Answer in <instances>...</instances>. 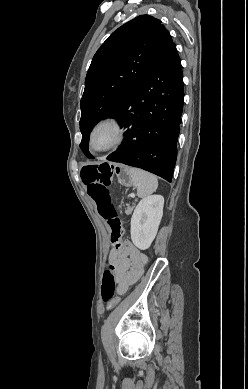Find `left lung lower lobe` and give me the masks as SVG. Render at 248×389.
<instances>
[{
  "label": "left lung lower lobe",
  "mask_w": 248,
  "mask_h": 389,
  "mask_svg": "<svg viewBox=\"0 0 248 389\" xmlns=\"http://www.w3.org/2000/svg\"><path fill=\"white\" fill-rule=\"evenodd\" d=\"M183 90L181 60L172 44L114 116L128 129L122 145L107 160L142 168L171 182Z\"/></svg>",
  "instance_id": "1"
}]
</instances>
